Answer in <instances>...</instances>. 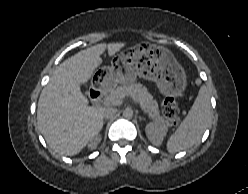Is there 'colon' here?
<instances>
[{"instance_id":"colon-1","label":"colon","mask_w":248,"mask_h":194,"mask_svg":"<svg viewBox=\"0 0 248 194\" xmlns=\"http://www.w3.org/2000/svg\"><path fill=\"white\" fill-rule=\"evenodd\" d=\"M179 97V95H169L165 97L161 103L162 114L175 125H178L180 122L178 111Z\"/></svg>"}]
</instances>
